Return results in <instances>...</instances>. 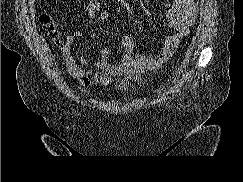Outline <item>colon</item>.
Instances as JSON below:
<instances>
[{"label":"colon","instance_id":"5ec220e1","mask_svg":"<svg viewBox=\"0 0 243 182\" xmlns=\"http://www.w3.org/2000/svg\"><path fill=\"white\" fill-rule=\"evenodd\" d=\"M40 21L43 24L46 33L54 40L59 41L61 33L58 29V24L53 17L50 14H42Z\"/></svg>","mask_w":243,"mask_h":182}]
</instances>
